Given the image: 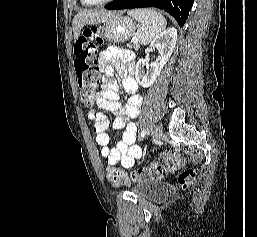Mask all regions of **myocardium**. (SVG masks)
<instances>
[{
	"label": "myocardium",
	"mask_w": 257,
	"mask_h": 237,
	"mask_svg": "<svg viewBox=\"0 0 257 237\" xmlns=\"http://www.w3.org/2000/svg\"><path fill=\"white\" fill-rule=\"evenodd\" d=\"M112 1H114V0H103V1H98V2H92V1H89V0H82V2L85 5H88V6H101V5L108 4Z\"/></svg>",
	"instance_id": "1"
}]
</instances>
